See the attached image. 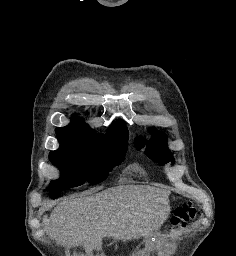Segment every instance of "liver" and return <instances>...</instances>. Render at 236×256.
<instances>
[{
	"mask_svg": "<svg viewBox=\"0 0 236 256\" xmlns=\"http://www.w3.org/2000/svg\"><path fill=\"white\" fill-rule=\"evenodd\" d=\"M165 194L151 186H116L92 196L60 202L50 214L53 238L70 248L82 246L88 256L102 252L103 238L131 240L146 236L154 216L168 218Z\"/></svg>",
	"mask_w": 236,
	"mask_h": 256,
	"instance_id": "obj_1",
	"label": "liver"
}]
</instances>
